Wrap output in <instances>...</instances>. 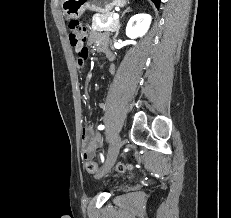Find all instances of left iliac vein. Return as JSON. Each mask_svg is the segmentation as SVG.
Instances as JSON below:
<instances>
[{
  "mask_svg": "<svg viewBox=\"0 0 231 218\" xmlns=\"http://www.w3.org/2000/svg\"><path fill=\"white\" fill-rule=\"evenodd\" d=\"M122 145H123V142L121 141L120 136L116 134L113 137L112 144L108 150L105 165H104L103 169L96 175L97 178H101L111 169V167L116 162V159L118 157V154H119V151H120V148L122 147Z\"/></svg>",
  "mask_w": 231,
  "mask_h": 218,
  "instance_id": "1",
  "label": "left iliac vein"
}]
</instances>
